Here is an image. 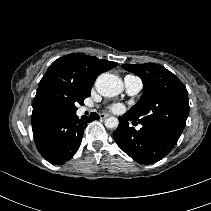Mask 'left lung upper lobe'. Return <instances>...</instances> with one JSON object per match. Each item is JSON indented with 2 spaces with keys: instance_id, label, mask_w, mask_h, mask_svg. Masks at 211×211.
Returning a JSON list of instances; mask_svg holds the SVG:
<instances>
[{
  "instance_id": "5c2ea615",
  "label": "left lung upper lobe",
  "mask_w": 211,
  "mask_h": 211,
  "mask_svg": "<svg viewBox=\"0 0 211 211\" xmlns=\"http://www.w3.org/2000/svg\"><path fill=\"white\" fill-rule=\"evenodd\" d=\"M138 75L143 94L127 113L140 124L163 130L179 139L189 114L188 93L184 84L169 70L155 63L124 64Z\"/></svg>"
}]
</instances>
